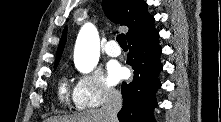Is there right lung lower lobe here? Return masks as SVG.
<instances>
[{"mask_svg": "<svg viewBox=\"0 0 221 122\" xmlns=\"http://www.w3.org/2000/svg\"><path fill=\"white\" fill-rule=\"evenodd\" d=\"M159 33L150 25L144 32L128 40L130 52L127 64L134 70L132 82L122 83L123 106L118 113L120 122H154L153 110L157 105L155 93L161 84L162 70L159 56Z\"/></svg>", "mask_w": 221, "mask_h": 122, "instance_id": "1", "label": "right lung lower lobe"}]
</instances>
